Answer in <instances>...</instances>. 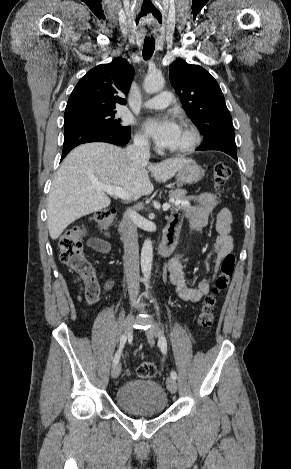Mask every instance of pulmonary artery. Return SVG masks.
I'll return each instance as SVG.
<instances>
[{
  "instance_id": "e3ab8cb5",
  "label": "pulmonary artery",
  "mask_w": 291,
  "mask_h": 469,
  "mask_svg": "<svg viewBox=\"0 0 291 469\" xmlns=\"http://www.w3.org/2000/svg\"><path fill=\"white\" fill-rule=\"evenodd\" d=\"M172 94L169 91H162L157 96L145 101L143 107L147 109H164L172 104Z\"/></svg>"
}]
</instances>
